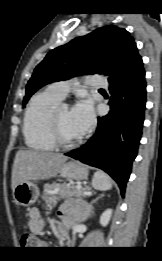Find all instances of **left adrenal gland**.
Masks as SVG:
<instances>
[{"label":"left adrenal gland","instance_id":"1","mask_svg":"<svg viewBox=\"0 0 162 261\" xmlns=\"http://www.w3.org/2000/svg\"><path fill=\"white\" fill-rule=\"evenodd\" d=\"M104 197V194L99 195L97 198H95L94 200H92L89 204V207L91 208V210H93V204L96 203L100 198Z\"/></svg>","mask_w":162,"mask_h":261}]
</instances>
